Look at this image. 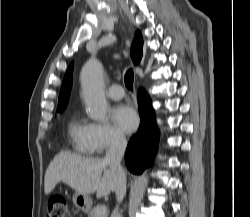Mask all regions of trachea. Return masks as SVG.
<instances>
[{"instance_id":"trachea-1","label":"trachea","mask_w":250,"mask_h":217,"mask_svg":"<svg viewBox=\"0 0 250 217\" xmlns=\"http://www.w3.org/2000/svg\"><path fill=\"white\" fill-rule=\"evenodd\" d=\"M125 80V86L129 89V90H133V80H134V73L132 69H129L124 77Z\"/></svg>"}]
</instances>
